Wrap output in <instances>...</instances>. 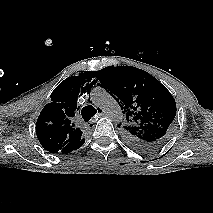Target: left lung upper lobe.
I'll list each match as a JSON object with an SVG mask.
<instances>
[{"mask_svg": "<svg viewBox=\"0 0 213 213\" xmlns=\"http://www.w3.org/2000/svg\"><path fill=\"white\" fill-rule=\"evenodd\" d=\"M96 77L123 110L121 132L128 145L150 151L169 140L175 129L176 103L156 78L136 67L113 65L97 71Z\"/></svg>", "mask_w": 213, "mask_h": 213, "instance_id": "obj_1", "label": "left lung upper lobe"}]
</instances>
